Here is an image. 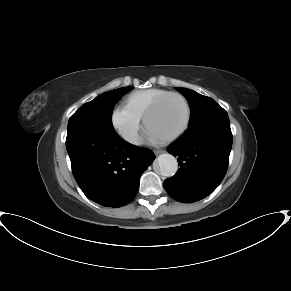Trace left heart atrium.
<instances>
[{
	"mask_svg": "<svg viewBox=\"0 0 291 291\" xmlns=\"http://www.w3.org/2000/svg\"><path fill=\"white\" fill-rule=\"evenodd\" d=\"M145 137L152 142L161 141L163 139L160 135H158L149 127L146 128Z\"/></svg>",
	"mask_w": 291,
	"mask_h": 291,
	"instance_id": "left-heart-atrium-1",
	"label": "left heart atrium"
}]
</instances>
